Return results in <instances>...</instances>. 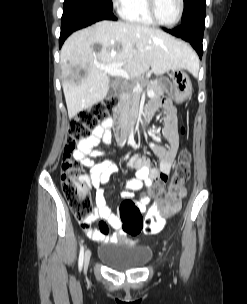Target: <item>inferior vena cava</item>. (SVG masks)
<instances>
[{
	"label": "inferior vena cava",
	"instance_id": "602c4592",
	"mask_svg": "<svg viewBox=\"0 0 247 304\" xmlns=\"http://www.w3.org/2000/svg\"><path fill=\"white\" fill-rule=\"evenodd\" d=\"M120 98L123 103V111L120 118V126L124 132H127L130 127V108H129V94L121 93Z\"/></svg>",
	"mask_w": 247,
	"mask_h": 304
}]
</instances>
